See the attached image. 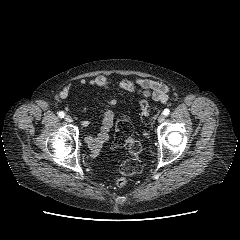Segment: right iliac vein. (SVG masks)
I'll use <instances>...</instances> for the list:
<instances>
[{
  "mask_svg": "<svg viewBox=\"0 0 240 240\" xmlns=\"http://www.w3.org/2000/svg\"><path fill=\"white\" fill-rule=\"evenodd\" d=\"M65 121L70 123V122L73 121V119H72V117L70 115H66L65 116Z\"/></svg>",
  "mask_w": 240,
  "mask_h": 240,
  "instance_id": "63e3f726",
  "label": "right iliac vein"
}]
</instances>
